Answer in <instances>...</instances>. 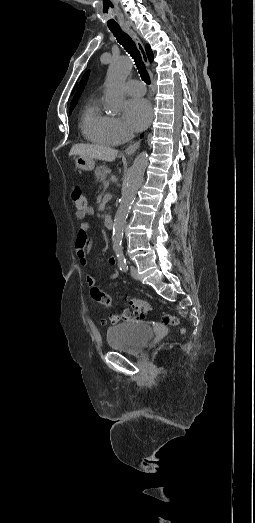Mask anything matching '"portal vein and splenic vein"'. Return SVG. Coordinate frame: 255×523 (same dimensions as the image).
Wrapping results in <instances>:
<instances>
[{"label": "portal vein and splenic vein", "mask_w": 255, "mask_h": 523, "mask_svg": "<svg viewBox=\"0 0 255 523\" xmlns=\"http://www.w3.org/2000/svg\"><path fill=\"white\" fill-rule=\"evenodd\" d=\"M102 186L104 188H107L109 186V179H104V182L102 183Z\"/></svg>", "instance_id": "1"}]
</instances>
